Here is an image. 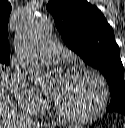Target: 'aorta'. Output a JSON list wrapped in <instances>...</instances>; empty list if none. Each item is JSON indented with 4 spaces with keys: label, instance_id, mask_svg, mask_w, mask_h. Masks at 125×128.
<instances>
[{
    "label": "aorta",
    "instance_id": "aorta-1",
    "mask_svg": "<svg viewBox=\"0 0 125 128\" xmlns=\"http://www.w3.org/2000/svg\"><path fill=\"white\" fill-rule=\"evenodd\" d=\"M51 32V24L46 18L29 16L26 18L16 37V49L23 65L29 67L31 77L42 88L51 83L48 72L42 69L36 61L35 53Z\"/></svg>",
    "mask_w": 125,
    "mask_h": 128
}]
</instances>
